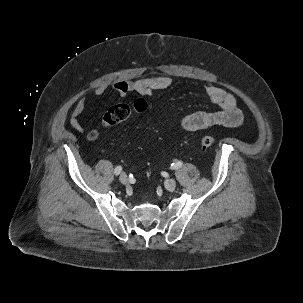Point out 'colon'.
Masks as SVG:
<instances>
[{
  "label": "colon",
  "instance_id": "5ec220e1",
  "mask_svg": "<svg viewBox=\"0 0 303 303\" xmlns=\"http://www.w3.org/2000/svg\"><path fill=\"white\" fill-rule=\"evenodd\" d=\"M148 104L144 99H137L132 105L118 104L110 107L102 117L104 127H112L128 119L132 113L146 111ZM216 141L215 135H204L200 138V144L204 149L210 148Z\"/></svg>",
  "mask_w": 303,
  "mask_h": 303
}]
</instances>
